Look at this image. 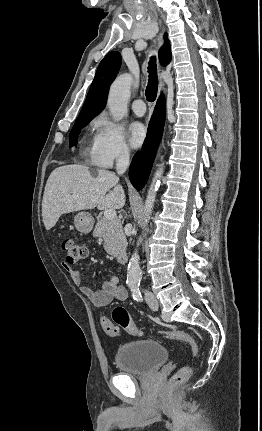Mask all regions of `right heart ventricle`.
Returning <instances> with one entry per match:
<instances>
[{
    "instance_id": "1",
    "label": "right heart ventricle",
    "mask_w": 262,
    "mask_h": 431,
    "mask_svg": "<svg viewBox=\"0 0 262 431\" xmlns=\"http://www.w3.org/2000/svg\"><path fill=\"white\" fill-rule=\"evenodd\" d=\"M90 153L92 154V149L90 150Z\"/></svg>"
}]
</instances>
